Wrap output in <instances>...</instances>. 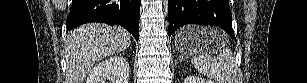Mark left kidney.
<instances>
[{
	"mask_svg": "<svg viewBox=\"0 0 307 83\" xmlns=\"http://www.w3.org/2000/svg\"><path fill=\"white\" fill-rule=\"evenodd\" d=\"M184 83H213L212 81L206 80L204 78H200L197 76H187L184 79Z\"/></svg>",
	"mask_w": 307,
	"mask_h": 83,
	"instance_id": "5707ae66",
	"label": "left kidney"
}]
</instances>
